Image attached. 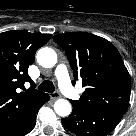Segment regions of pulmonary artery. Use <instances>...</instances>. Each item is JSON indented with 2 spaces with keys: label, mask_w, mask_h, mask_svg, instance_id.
<instances>
[{
  "label": "pulmonary artery",
  "mask_w": 136,
  "mask_h": 136,
  "mask_svg": "<svg viewBox=\"0 0 136 136\" xmlns=\"http://www.w3.org/2000/svg\"><path fill=\"white\" fill-rule=\"evenodd\" d=\"M55 76L58 79L60 89L62 92L71 99H76L78 97V93L71 85L67 67L64 64H60L57 66L55 70Z\"/></svg>",
  "instance_id": "obj_1"
}]
</instances>
